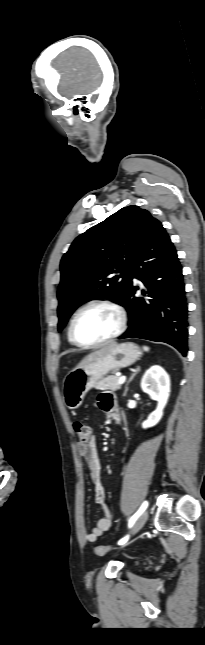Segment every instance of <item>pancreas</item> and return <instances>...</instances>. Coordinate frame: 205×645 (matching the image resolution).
Here are the masks:
<instances>
[{"label": "pancreas", "instance_id": "cf45deb5", "mask_svg": "<svg viewBox=\"0 0 205 645\" xmlns=\"http://www.w3.org/2000/svg\"><path fill=\"white\" fill-rule=\"evenodd\" d=\"M119 378L120 377L116 375H111L106 378H103L95 384V389L109 390V391L119 390L121 388L119 384Z\"/></svg>", "mask_w": 205, "mask_h": 645}]
</instances>
